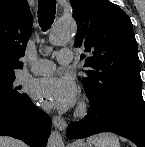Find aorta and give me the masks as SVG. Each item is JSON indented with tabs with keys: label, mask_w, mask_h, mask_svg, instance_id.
<instances>
[{
	"label": "aorta",
	"mask_w": 145,
	"mask_h": 147,
	"mask_svg": "<svg viewBox=\"0 0 145 147\" xmlns=\"http://www.w3.org/2000/svg\"><path fill=\"white\" fill-rule=\"evenodd\" d=\"M76 31V23L72 20H60L56 23L50 35L53 45H63L67 43ZM47 147H64L62 136L58 132H52L48 140Z\"/></svg>",
	"instance_id": "obj_1"
}]
</instances>
